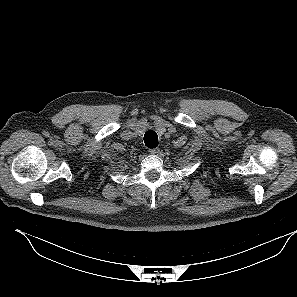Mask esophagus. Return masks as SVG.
<instances>
[{"label":"esophagus","instance_id":"esophagus-1","mask_svg":"<svg viewBox=\"0 0 297 297\" xmlns=\"http://www.w3.org/2000/svg\"><path fill=\"white\" fill-rule=\"evenodd\" d=\"M159 151H160L159 148H152V149H149V153H150V154H153V155L159 153Z\"/></svg>","mask_w":297,"mask_h":297}]
</instances>
